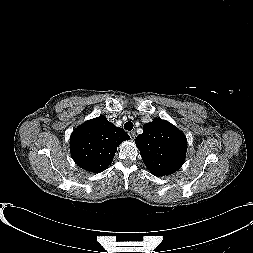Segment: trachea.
<instances>
[{"label":"trachea","instance_id":"1","mask_svg":"<svg viewBox=\"0 0 253 253\" xmlns=\"http://www.w3.org/2000/svg\"><path fill=\"white\" fill-rule=\"evenodd\" d=\"M124 128L128 131H131L133 129V123L132 122H126L124 124Z\"/></svg>","mask_w":253,"mask_h":253}]
</instances>
